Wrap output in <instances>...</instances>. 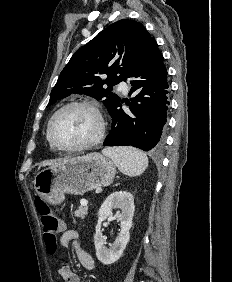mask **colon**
I'll list each match as a JSON object with an SVG mask.
<instances>
[{"label": "colon", "mask_w": 232, "mask_h": 282, "mask_svg": "<svg viewBox=\"0 0 232 282\" xmlns=\"http://www.w3.org/2000/svg\"><path fill=\"white\" fill-rule=\"evenodd\" d=\"M35 205L40 215L46 250L49 254H54L57 251L62 223L42 199L36 198Z\"/></svg>", "instance_id": "colon-1"}]
</instances>
